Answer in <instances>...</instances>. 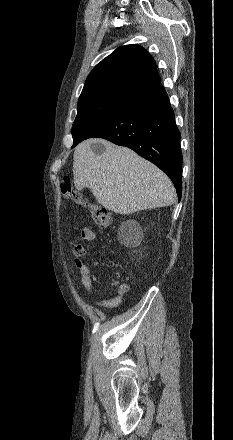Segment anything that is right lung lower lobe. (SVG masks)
Here are the masks:
<instances>
[{
  "label": "right lung lower lobe",
  "mask_w": 233,
  "mask_h": 440,
  "mask_svg": "<svg viewBox=\"0 0 233 440\" xmlns=\"http://www.w3.org/2000/svg\"><path fill=\"white\" fill-rule=\"evenodd\" d=\"M91 137L104 138L119 146L129 147L157 165L173 181L180 201V132L163 86L160 85L127 102L119 112L83 140Z\"/></svg>",
  "instance_id": "obj_1"
}]
</instances>
